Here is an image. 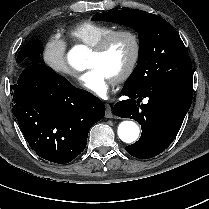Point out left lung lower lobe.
<instances>
[{
  "mask_svg": "<svg viewBox=\"0 0 209 209\" xmlns=\"http://www.w3.org/2000/svg\"><path fill=\"white\" fill-rule=\"evenodd\" d=\"M129 97L115 104L114 113L136 120L142 128L140 139L126 147L139 159H149L163 152L175 139L192 103L193 76H187L142 88L124 86ZM143 98L147 104H140Z\"/></svg>",
  "mask_w": 209,
  "mask_h": 209,
  "instance_id": "left-lung-lower-lobe-1",
  "label": "left lung lower lobe"
}]
</instances>
